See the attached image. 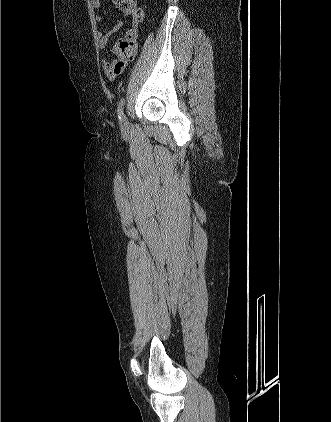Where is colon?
I'll use <instances>...</instances> for the list:
<instances>
[{"instance_id":"1","label":"colon","mask_w":331,"mask_h":422,"mask_svg":"<svg viewBox=\"0 0 331 422\" xmlns=\"http://www.w3.org/2000/svg\"><path fill=\"white\" fill-rule=\"evenodd\" d=\"M116 10L126 14L132 21H141L143 11L139 8L137 0H112Z\"/></svg>"}]
</instances>
